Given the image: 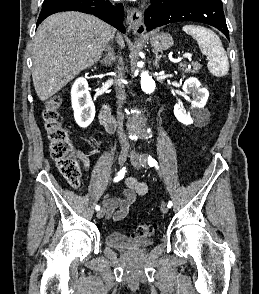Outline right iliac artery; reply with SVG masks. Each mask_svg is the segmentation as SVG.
Masks as SVG:
<instances>
[{
	"instance_id": "obj_1",
	"label": "right iliac artery",
	"mask_w": 259,
	"mask_h": 294,
	"mask_svg": "<svg viewBox=\"0 0 259 294\" xmlns=\"http://www.w3.org/2000/svg\"><path fill=\"white\" fill-rule=\"evenodd\" d=\"M126 173V168L123 167L118 173L117 176L114 178L115 182H118L119 180L123 179ZM95 209L98 211L100 210V206L96 205Z\"/></svg>"
}]
</instances>
